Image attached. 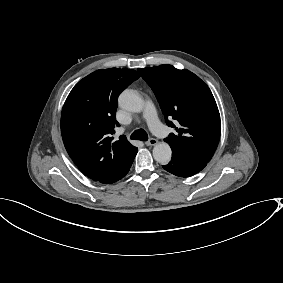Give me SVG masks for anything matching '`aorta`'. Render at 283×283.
<instances>
[{
	"label": "aorta",
	"instance_id": "1",
	"mask_svg": "<svg viewBox=\"0 0 283 283\" xmlns=\"http://www.w3.org/2000/svg\"><path fill=\"white\" fill-rule=\"evenodd\" d=\"M119 106L130 112H141L144 107L142 98L133 91L126 90L122 92L118 99ZM172 156L171 147L165 143L160 142L153 148V157L160 164H167Z\"/></svg>",
	"mask_w": 283,
	"mask_h": 283
}]
</instances>
